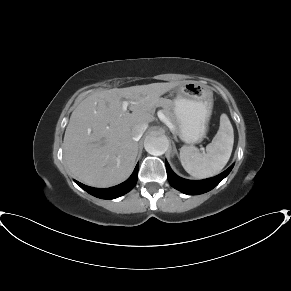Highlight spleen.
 <instances>
[{
    "instance_id": "spleen-1",
    "label": "spleen",
    "mask_w": 291,
    "mask_h": 291,
    "mask_svg": "<svg viewBox=\"0 0 291 291\" xmlns=\"http://www.w3.org/2000/svg\"><path fill=\"white\" fill-rule=\"evenodd\" d=\"M234 132L226 114L220 116V126L212 142L206 146V153H200L194 146L180 149V161L191 176L199 179L217 175L225 167L232 153Z\"/></svg>"
}]
</instances>
